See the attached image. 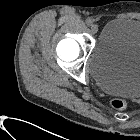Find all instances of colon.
<instances>
[{
	"instance_id": "1",
	"label": "colon",
	"mask_w": 140,
	"mask_h": 140,
	"mask_svg": "<svg viewBox=\"0 0 140 140\" xmlns=\"http://www.w3.org/2000/svg\"><path fill=\"white\" fill-rule=\"evenodd\" d=\"M111 106L117 110H123L127 107V102L119 97H115L110 102Z\"/></svg>"
}]
</instances>
